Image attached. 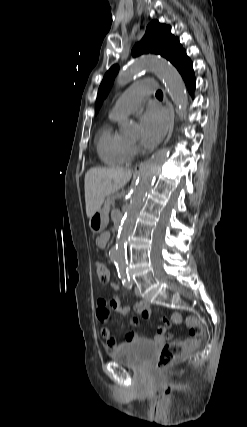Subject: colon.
<instances>
[{
  "mask_svg": "<svg viewBox=\"0 0 247 427\" xmlns=\"http://www.w3.org/2000/svg\"><path fill=\"white\" fill-rule=\"evenodd\" d=\"M95 269L100 281L106 284L110 279L107 264L103 261H97ZM186 326L189 329L190 337L183 342H169L163 346L156 360V368L158 370H162L184 358L189 352L199 346L203 333L201 324L194 317H188L186 319Z\"/></svg>",
  "mask_w": 247,
  "mask_h": 427,
  "instance_id": "colon-1",
  "label": "colon"
}]
</instances>
